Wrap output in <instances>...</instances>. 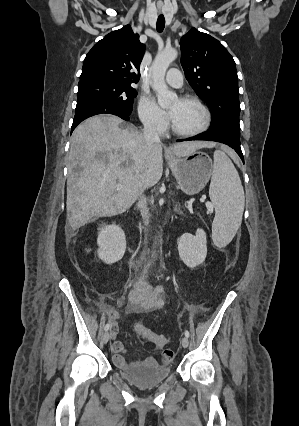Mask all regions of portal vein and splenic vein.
Masks as SVG:
<instances>
[{
	"label": "portal vein and splenic vein",
	"instance_id": "portal-vein-and-splenic-vein-1",
	"mask_svg": "<svg viewBox=\"0 0 299 426\" xmlns=\"http://www.w3.org/2000/svg\"><path fill=\"white\" fill-rule=\"evenodd\" d=\"M116 189H117V190L122 189V185H121V184H117V185H116ZM206 206H207L208 208H213V204H212L211 202H206Z\"/></svg>",
	"mask_w": 299,
	"mask_h": 426
}]
</instances>
